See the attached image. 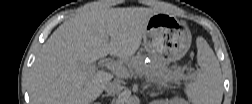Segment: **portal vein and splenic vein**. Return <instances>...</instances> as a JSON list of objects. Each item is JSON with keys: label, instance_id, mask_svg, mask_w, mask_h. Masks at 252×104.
Returning <instances> with one entry per match:
<instances>
[{"label": "portal vein and splenic vein", "instance_id": "1", "mask_svg": "<svg viewBox=\"0 0 252 104\" xmlns=\"http://www.w3.org/2000/svg\"><path fill=\"white\" fill-rule=\"evenodd\" d=\"M106 66L108 69L112 70L117 76L123 78H127L130 76V73L127 71V69L123 68L121 65L115 62H109L106 64Z\"/></svg>", "mask_w": 252, "mask_h": 104}]
</instances>
